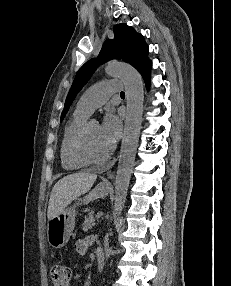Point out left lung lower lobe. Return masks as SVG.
<instances>
[{
    "mask_svg": "<svg viewBox=\"0 0 231 286\" xmlns=\"http://www.w3.org/2000/svg\"><path fill=\"white\" fill-rule=\"evenodd\" d=\"M151 62L149 61L147 64H145L141 69H140V74L142 75L146 87L148 88L150 86V70H151Z\"/></svg>",
    "mask_w": 231,
    "mask_h": 286,
    "instance_id": "0a47b994",
    "label": "left lung lower lobe"
}]
</instances>
